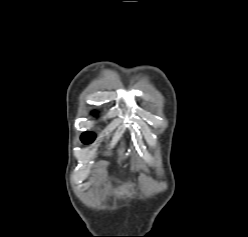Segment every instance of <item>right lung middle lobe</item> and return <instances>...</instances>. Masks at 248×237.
<instances>
[{"instance_id": "dd1d6c3e", "label": "right lung middle lobe", "mask_w": 248, "mask_h": 237, "mask_svg": "<svg viewBox=\"0 0 248 237\" xmlns=\"http://www.w3.org/2000/svg\"><path fill=\"white\" fill-rule=\"evenodd\" d=\"M94 139H95V135L92 132H85L81 136V140L85 144H89L93 142Z\"/></svg>"}]
</instances>
